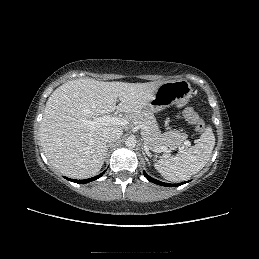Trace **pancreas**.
Masks as SVG:
<instances>
[{
    "instance_id": "pancreas-1",
    "label": "pancreas",
    "mask_w": 259,
    "mask_h": 259,
    "mask_svg": "<svg viewBox=\"0 0 259 259\" xmlns=\"http://www.w3.org/2000/svg\"><path fill=\"white\" fill-rule=\"evenodd\" d=\"M128 118L132 123L142 127L144 142L151 150H156L162 146L173 150L187 142V134L180 133L177 130H170L162 134L152 113L145 111L132 113L129 114Z\"/></svg>"
}]
</instances>
